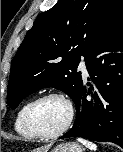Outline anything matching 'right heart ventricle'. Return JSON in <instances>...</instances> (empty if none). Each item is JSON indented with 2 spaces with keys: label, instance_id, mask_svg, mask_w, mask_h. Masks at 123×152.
I'll use <instances>...</instances> for the list:
<instances>
[{
  "label": "right heart ventricle",
  "instance_id": "1",
  "mask_svg": "<svg viewBox=\"0 0 123 152\" xmlns=\"http://www.w3.org/2000/svg\"><path fill=\"white\" fill-rule=\"evenodd\" d=\"M31 102L32 101H26L25 103H23L21 107L18 109L14 119V129L16 133L25 139H34L36 137L27 128L25 123V114Z\"/></svg>",
  "mask_w": 123,
  "mask_h": 152
}]
</instances>
